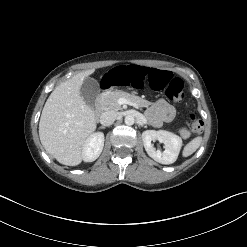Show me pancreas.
<instances>
[{"label":"pancreas","instance_id":"1","mask_svg":"<svg viewBox=\"0 0 247 247\" xmlns=\"http://www.w3.org/2000/svg\"><path fill=\"white\" fill-rule=\"evenodd\" d=\"M119 98H126L131 103L135 104L137 107H145L149 104V101L134 94L126 93L123 91H116L103 94L102 102L106 108L118 111L122 109V106L118 104ZM179 133L184 139L189 138L191 134L186 128H181L179 130Z\"/></svg>","mask_w":247,"mask_h":247}]
</instances>
